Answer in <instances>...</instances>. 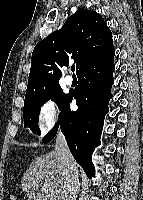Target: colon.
<instances>
[{"instance_id":"1","label":"colon","mask_w":143,"mask_h":200,"mask_svg":"<svg viewBox=\"0 0 143 200\" xmlns=\"http://www.w3.org/2000/svg\"><path fill=\"white\" fill-rule=\"evenodd\" d=\"M11 200H15V198H14V197H11Z\"/></svg>"}]
</instances>
